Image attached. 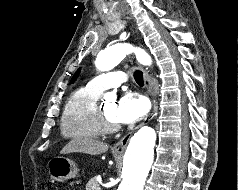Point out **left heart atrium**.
<instances>
[{
    "label": "left heart atrium",
    "instance_id": "1",
    "mask_svg": "<svg viewBox=\"0 0 238 190\" xmlns=\"http://www.w3.org/2000/svg\"><path fill=\"white\" fill-rule=\"evenodd\" d=\"M148 109V102L143 96L137 93H126L118 101L116 118L120 123H133L140 120Z\"/></svg>",
    "mask_w": 238,
    "mask_h": 190
}]
</instances>
